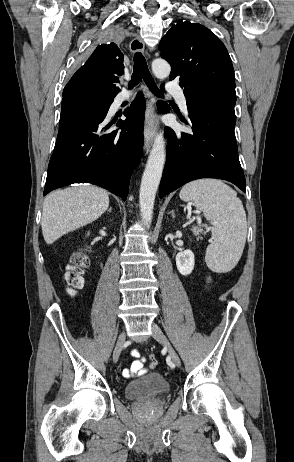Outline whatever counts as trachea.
Returning a JSON list of instances; mask_svg holds the SVG:
<instances>
[{
	"label": "trachea",
	"instance_id": "1",
	"mask_svg": "<svg viewBox=\"0 0 294 462\" xmlns=\"http://www.w3.org/2000/svg\"><path fill=\"white\" fill-rule=\"evenodd\" d=\"M144 80L149 89L157 96H163L161 91L158 89L152 75L149 72L146 60L144 56L137 52L134 55V66L131 82L129 83V88L132 89L137 85L141 80Z\"/></svg>",
	"mask_w": 294,
	"mask_h": 462
}]
</instances>
